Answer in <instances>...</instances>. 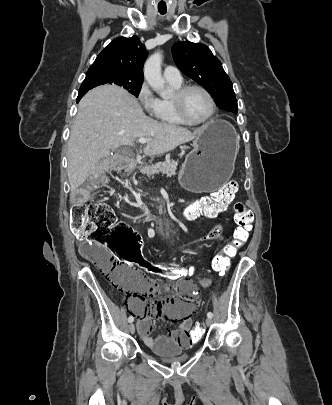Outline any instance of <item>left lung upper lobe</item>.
Segmentation results:
<instances>
[{"instance_id":"obj_1","label":"left lung upper lobe","mask_w":332,"mask_h":405,"mask_svg":"<svg viewBox=\"0 0 332 405\" xmlns=\"http://www.w3.org/2000/svg\"><path fill=\"white\" fill-rule=\"evenodd\" d=\"M172 55L177 67L203 86L223 110L237 114V100L233 85L221 62L203 44L189 41L176 42Z\"/></svg>"}]
</instances>
